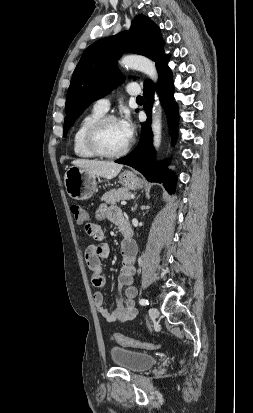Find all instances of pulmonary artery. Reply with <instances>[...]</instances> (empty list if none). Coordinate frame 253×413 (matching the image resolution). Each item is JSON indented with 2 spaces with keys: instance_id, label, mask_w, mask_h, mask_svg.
I'll return each instance as SVG.
<instances>
[{
  "instance_id": "pulmonary-artery-1",
  "label": "pulmonary artery",
  "mask_w": 253,
  "mask_h": 413,
  "mask_svg": "<svg viewBox=\"0 0 253 413\" xmlns=\"http://www.w3.org/2000/svg\"><path fill=\"white\" fill-rule=\"evenodd\" d=\"M126 92L131 96H137L140 94V87L136 83H129L126 86ZM110 107V99L107 97H103L98 99L94 103V108L100 112H107Z\"/></svg>"
}]
</instances>
